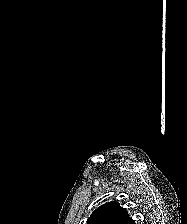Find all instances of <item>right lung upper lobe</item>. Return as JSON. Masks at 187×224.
Here are the masks:
<instances>
[{"mask_svg": "<svg viewBox=\"0 0 187 224\" xmlns=\"http://www.w3.org/2000/svg\"><path fill=\"white\" fill-rule=\"evenodd\" d=\"M87 224H135L126 209L118 203L108 202L93 211L87 219Z\"/></svg>", "mask_w": 187, "mask_h": 224, "instance_id": "right-lung-upper-lobe-1", "label": "right lung upper lobe"}]
</instances>
